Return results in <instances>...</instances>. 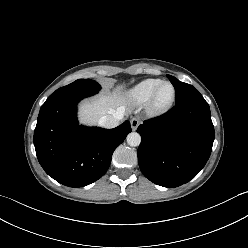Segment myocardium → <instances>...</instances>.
Masks as SVG:
<instances>
[{
	"label": "myocardium",
	"mask_w": 248,
	"mask_h": 248,
	"mask_svg": "<svg viewBox=\"0 0 248 248\" xmlns=\"http://www.w3.org/2000/svg\"><path fill=\"white\" fill-rule=\"evenodd\" d=\"M167 85L172 88V96L168 102L160 103L158 100L159 93H160L161 89ZM175 100H176V88H175V86L169 81H164V82H161L158 85V87L154 90L153 94L151 95L150 99L147 102V109L151 113H163V112L169 110L173 106Z\"/></svg>",
	"instance_id": "f54148a6"
}]
</instances>
